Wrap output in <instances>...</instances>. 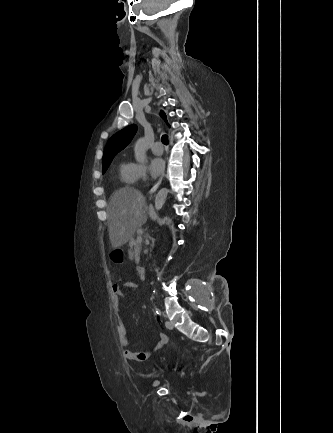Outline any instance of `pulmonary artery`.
Segmentation results:
<instances>
[{
    "label": "pulmonary artery",
    "mask_w": 333,
    "mask_h": 433,
    "mask_svg": "<svg viewBox=\"0 0 333 433\" xmlns=\"http://www.w3.org/2000/svg\"><path fill=\"white\" fill-rule=\"evenodd\" d=\"M154 155L160 156L163 154V145L160 142H156L152 147Z\"/></svg>",
    "instance_id": "1"
}]
</instances>
